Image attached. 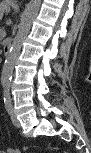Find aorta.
Segmentation results:
<instances>
[{"label": "aorta", "mask_w": 91, "mask_h": 153, "mask_svg": "<svg viewBox=\"0 0 91 153\" xmlns=\"http://www.w3.org/2000/svg\"><path fill=\"white\" fill-rule=\"evenodd\" d=\"M40 6L41 0H32L25 9L19 30L12 42L2 69L1 84L5 87L10 85L14 65L20 54L23 41L30 31L32 23L39 12Z\"/></svg>", "instance_id": "762f6f07"}]
</instances>
